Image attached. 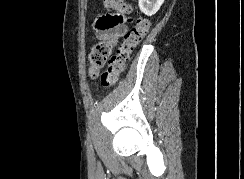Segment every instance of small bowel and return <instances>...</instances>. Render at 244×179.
<instances>
[{"label": "small bowel", "instance_id": "small-bowel-1", "mask_svg": "<svg viewBox=\"0 0 244 179\" xmlns=\"http://www.w3.org/2000/svg\"><path fill=\"white\" fill-rule=\"evenodd\" d=\"M95 27V37L97 39H103L109 35L119 36L122 35L124 31L123 28L119 26L116 15L110 13L100 15L96 19Z\"/></svg>", "mask_w": 244, "mask_h": 179}]
</instances>
